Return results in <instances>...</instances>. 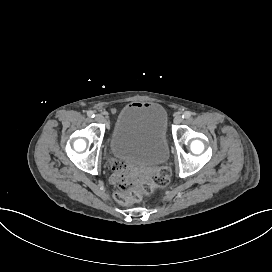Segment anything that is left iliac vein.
Returning <instances> with one entry per match:
<instances>
[{
    "instance_id": "1",
    "label": "left iliac vein",
    "mask_w": 272,
    "mask_h": 272,
    "mask_svg": "<svg viewBox=\"0 0 272 272\" xmlns=\"http://www.w3.org/2000/svg\"><path fill=\"white\" fill-rule=\"evenodd\" d=\"M182 122V116L178 113L175 115L174 123L180 124Z\"/></svg>"
}]
</instances>
